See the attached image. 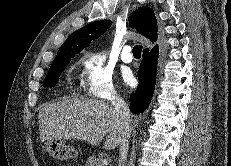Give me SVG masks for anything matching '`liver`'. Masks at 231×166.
<instances>
[{
	"label": "liver",
	"mask_w": 231,
	"mask_h": 166,
	"mask_svg": "<svg viewBox=\"0 0 231 166\" xmlns=\"http://www.w3.org/2000/svg\"><path fill=\"white\" fill-rule=\"evenodd\" d=\"M42 142L80 139L112 150L121 145L123 124L115 109L96 99L71 98L45 105L38 114Z\"/></svg>",
	"instance_id": "1"
}]
</instances>
